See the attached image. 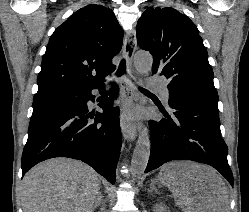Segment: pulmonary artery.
<instances>
[{"label": "pulmonary artery", "mask_w": 249, "mask_h": 212, "mask_svg": "<svg viewBox=\"0 0 249 212\" xmlns=\"http://www.w3.org/2000/svg\"><path fill=\"white\" fill-rule=\"evenodd\" d=\"M155 89L159 93L162 102L168 106L169 91H168L167 85L165 83H160L155 86Z\"/></svg>", "instance_id": "obj_1"}]
</instances>
